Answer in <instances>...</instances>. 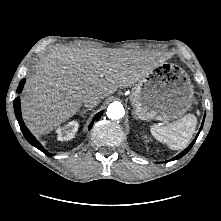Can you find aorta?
Listing matches in <instances>:
<instances>
[{
  "instance_id": "762f6f07",
  "label": "aorta",
  "mask_w": 221,
  "mask_h": 221,
  "mask_svg": "<svg viewBox=\"0 0 221 221\" xmlns=\"http://www.w3.org/2000/svg\"><path fill=\"white\" fill-rule=\"evenodd\" d=\"M125 111L121 103L113 102L107 108V116L111 119L118 120L124 117Z\"/></svg>"
}]
</instances>
